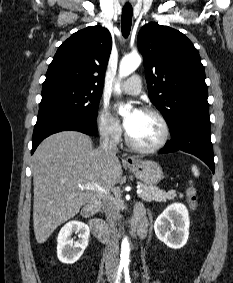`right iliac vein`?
Masks as SVG:
<instances>
[{
  "label": "right iliac vein",
  "mask_w": 233,
  "mask_h": 283,
  "mask_svg": "<svg viewBox=\"0 0 233 283\" xmlns=\"http://www.w3.org/2000/svg\"><path fill=\"white\" fill-rule=\"evenodd\" d=\"M108 281H109L110 283H112V282L114 281V274L110 273V274L108 275Z\"/></svg>",
  "instance_id": "1"
}]
</instances>
